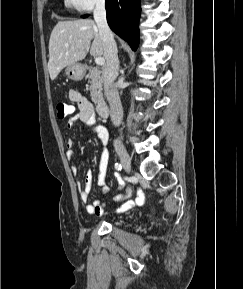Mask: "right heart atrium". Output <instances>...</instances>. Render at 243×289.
<instances>
[{"mask_svg":"<svg viewBox=\"0 0 243 289\" xmlns=\"http://www.w3.org/2000/svg\"><path fill=\"white\" fill-rule=\"evenodd\" d=\"M68 7L79 11L88 12L105 5L106 0H65Z\"/></svg>","mask_w":243,"mask_h":289,"instance_id":"1","label":"right heart atrium"}]
</instances>
